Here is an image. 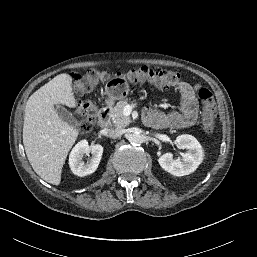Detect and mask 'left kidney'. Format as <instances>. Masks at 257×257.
Masks as SVG:
<instances>
[{"instance_id": "left-kidney-1", "label": "left kidney", "mask_w": 257, "mask_h": 257, "mask_svg": "<svg viewBox=\"0 0 257 257\" xmlns=\"http://www.w3.org/2000/svg\"><path fill=\"white\" fill-rule=\"evenodd\" d=\"M177 147L186 149L182 159H173L171 153L159 157V165L174 176H185L193 173L203 160V149L198 140L192 135L183 134L176 138Z\"/></svg>"}]
</instances>
